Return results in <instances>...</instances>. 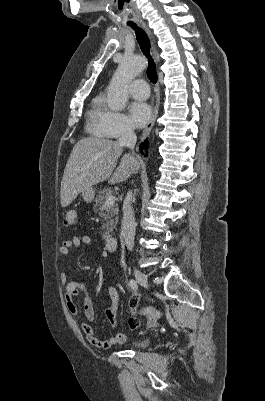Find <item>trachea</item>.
<instances>
[{
  "instance_id": "1",
  "label": "trachea",
  "mask_w": 265,
  "mask_h": 401,
  "mask_svg": "<svg viewBox=\"0 0 265 401\" xmlns=\"http://www.w3.org/2000/svg\"><path fill=\"white\" fill-rule=\"evenodd\" d=\"M128 26L132 27V29H134L136 31L137 41L140 45V48H141L143 54L146 56V58L148 60L147 76H148L149 80L153 84H155L157 82L158 76L156 73L155 62L150 55V40L147 37L146 33L141 28H138L135 23H133V22L128 23Z\"/></svg>"
}]
</instances>
